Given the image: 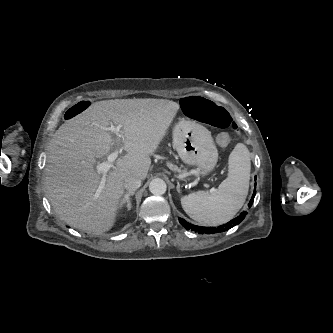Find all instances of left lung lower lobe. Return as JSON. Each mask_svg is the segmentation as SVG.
I'll return each instance as SVG.
<instances>
[{"instance_id":"obj_1","label":"left lung lower lobe","mask_w":333,"mask_h":333,"mask_svg":"<svg viewBox=\"0 0 333 333\" xmlns=\"http://www.w3.org/2000/svg\"><path fill=\"white\" fill-rule=\"evenodd\" d=\"M256 179V177H255ZM256 186V183H255ZM256 191H254L252 198L248 204L249 208L252 206V203L254 201V197H255ZM246 212L243 211L239 216H237L236 218L232 219L231 221H229L228 223L224 224V225H220L218 227H202V226H197V225H193L189 222H187L186 220L179 218V222L180 224L186 229V230H191V231H195L198 232L200 234H213V233H218V232H225L227 230H229L230 228L238 225L239 223H241L243 221V219L246 216Z\"/></svg>"}]
</instances>
